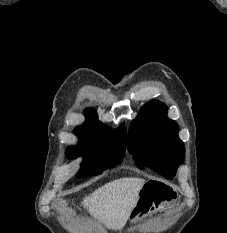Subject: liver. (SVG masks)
<instances>
[{
    "label": "liver",
    "instance_id": "1",
    "mask_svg": "<svg viewBox=\"0 0 227 233\" xmlns=\"http://www.w3.org/2000/svg\"><path fill=\"white\" fill-rule=\"evenodd\" d=\"M144 184L145 180L137 177L111 181L86 196L82 205L107 228L122 230Z\"/></svg>",
    "mask_w": 227,
    "mask_h": 233
}]
</instances>
